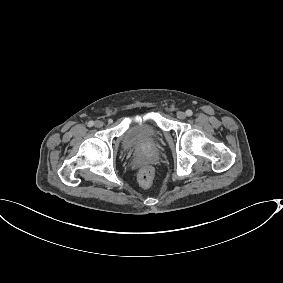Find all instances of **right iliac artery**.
I'll return each mask as SVG.
<instances>
[{"label": "right iliac artery", "mask_w": 283, "mask_h": 283, "mask_svg": "<svg viewBox=\"0 0 283 283\" xmlns=\"http://www.w3.org/2000/svg\"><path fill=\"white\" fill-rule=\"evenodd\" d=\"M93 125H94V122H93V121H89V122H88V126H89V127H92Z\"/></svg>", "instance_id": "right-iliac-artery-1"}]
</instances>
